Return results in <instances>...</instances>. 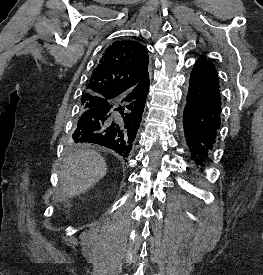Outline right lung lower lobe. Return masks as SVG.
<instances>
[{
  "mask_svg": "<svg viewBox=\"0 0 263 275\" xmlns=\"http://www.w3.org/2000/svg\"><path fill=\"white\" fill-rule=\"evenodd\" d=\"M145 94L149 90V76L145 80ZM127 95L114 94L104 103L81 112L72 135L75 143H93L107 147L128 157L140 126L142 112L127 102Z\"/></svg>",
  "mask_w": 263,
  "mask_h": 275,
  "instance_id": "obj_1",
  "label": "right lung lower lobe"
}]
</instances>
